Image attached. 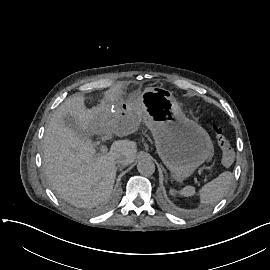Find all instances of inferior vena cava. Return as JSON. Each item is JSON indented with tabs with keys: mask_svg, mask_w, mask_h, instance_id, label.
I'll list each match as a JSON object with an SVG mask.
<instances>
[{
	"mask_svg": "<svg viewBox=\"0 0 270 270\" xmlns=\"http://www.w3.org/2000/svg\"><path fill=\"white\" fill-rule=\"evenodd\" d=\"M117 164L123 165V166H127V161L126 160H122V161L117 162Z\"/></svg>",
	"mask_w": 270,
	"mask_h": 270,
	"instance_id": "602c4592",
	"label": "inferior vena cava"
}]
</instances>
